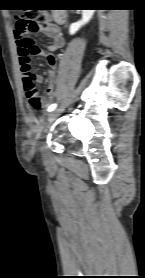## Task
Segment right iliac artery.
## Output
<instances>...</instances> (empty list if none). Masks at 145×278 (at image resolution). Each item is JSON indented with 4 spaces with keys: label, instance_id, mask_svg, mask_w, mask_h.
<instances>
[{
    "label": "right iliac artery",
    "instance_id": "82829eb1",
    "mask_svg": "<svg viewBox=\"0 0 145 278\" xmlns=\"http://www.w3.org/2000/svg\"><path fill=\"white\" fill-rule=\"evenodd\" d=\"M56 104H52V105H50L49 107H48V111L49 112H51V111H53L55 108H56Z\"/></svg>",
    "mask_w": 145,
    "mask_h": 278
}]
</instances>
